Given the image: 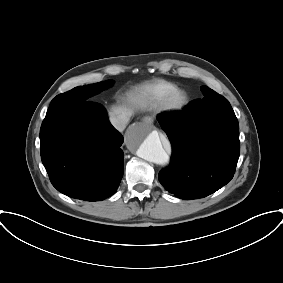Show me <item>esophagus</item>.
Returning a JSON list of instances; mask_svg holds the SVG:
<instances>
[{"instance_id":"1","label":"esophagus","mask_w":283,"mask_h":283,"mask_svg":"<svg viewBox=\"0 0 283 283\" xmlns=\"http://www.w3.org/2000/svg\"><path fill=\"white\" fill-rule=\"evenodd\" d=\"M143 121L150 124V123L153 122V119H152V117H150V116H145V117L143 118Z\"/></svg>"}]
</instances>
